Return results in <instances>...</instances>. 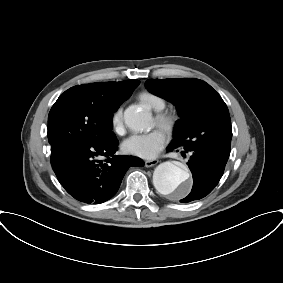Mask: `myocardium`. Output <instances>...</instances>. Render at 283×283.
Masks as SVG:
<instances>
[{"mask_svg": "<svg viewBox=\"0 0 283 283\" xmlns=\"http://www.w3.org/2000/svg\"><path fill=\"white\" fill-rule=\"evenodd\" d=\"M156 125L167 134H172L177 127L178 117L170 110H161L155 114Z\"/></svg>", "mask_w": 283, "mask_h": 283, "instance_id": "f54148a6", "label": "myocardium"}]
</instances>
